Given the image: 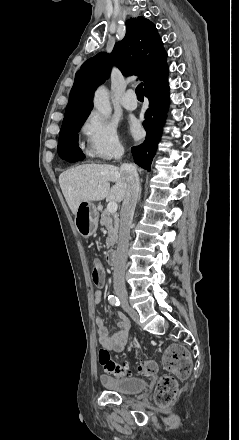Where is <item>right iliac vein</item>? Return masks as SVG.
Returning a JSON list of instances; mask_svg holds the SVG:
<instances>
[{
	"label": "right iliac vein",
	"mask_w": 239,
	"mask_h": 440,
	"mask_svg": "<svg viewBox=\"0 0 239 440\" xmlns=\"http://www.w3.org/2000/svg\"><path fill=\"white\" fill-rule=\"evenodd\" d=\"M123 307L133 319L138 320L139 317L137 312L129 306L126 298H124Z\"/></svg>",
	"instance_id": "obj_1"
}]
</instances>
